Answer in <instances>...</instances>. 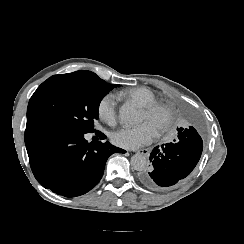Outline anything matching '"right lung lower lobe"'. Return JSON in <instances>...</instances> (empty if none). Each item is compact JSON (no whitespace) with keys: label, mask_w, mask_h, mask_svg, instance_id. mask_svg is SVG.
Wrapping results in <instances>:
<instances>
[{"label":"right lung lower lobe","mask_w":244,"mask_h":244,"mask_svg":"<svg viewBox=\"0 0 244 244\" xmlns=\"http://www.w3.org/2000/svg\"><path fill=\"white\" fill-rule=\"evenodd\" d=\"M84 134L43 124L26 126L30 166L43 187L66 197L82 195L100 181L111 154L125 153L108 142L89 143Z\"/></svg>","instance_id":"obj_1"}]
</instances>
